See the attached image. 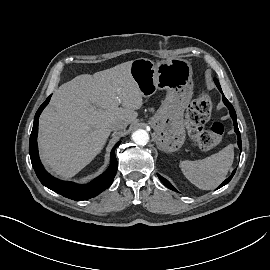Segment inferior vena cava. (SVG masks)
Wrapping results in <instances>:
<instances>
[{"instance_id":"602c4592","label":"inferior vena cava","mask_w":270,"mask_h":270,"mask_svg":"<svg viewBox=\"0 0 270 270\" xmlns=\"http://www.w3.org/2000/svg\"><path fill=\"white\" fill-rule=\"evenodd\" d=\"M127 127V123L125 121H115L111 125L112 130H121Z\"/></svg>"}]
</instances>
